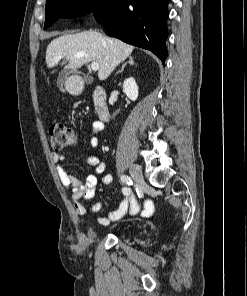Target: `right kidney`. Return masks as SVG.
<instances>
[{"label": "right kidney", "instance_id": "1", "mask_svg": "<svg viewBox=\"0 0 247 296\" xmlns=\"http://www.w3.org/2000/svg\"><path fill=\"white\" fill-rule=\"evenodd\" d=\"M123 92L126 94V96L132 100L135 101L138 97V86L135 82V79L130 77L126 79L123 83Z\"/></svg>", "mask_w": 247, "mask_h": 296}]
</instances>
